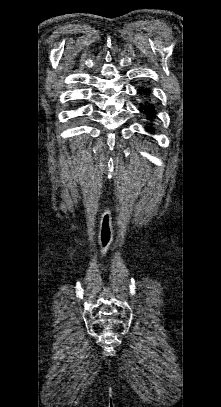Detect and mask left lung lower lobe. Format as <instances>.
I'll list each match as a JSON object with an SVG mask.
<instances>
[{
    "label": "left lung lower lobe",
    "mask_w": 221,
    "mask_h": 407,
    "mask_svg": "<svg viewBox=\"0 0 221 407\" xmlns=\"http://www.w3.org/2000/svg\"><path fill=\"white\" fill-rule=\"evenodd\" d=\"M138 94L140 96V103H139V111L144 115L145 119L147 120L145 129L146 131L153 133L155 132V128L153 127V123L156 120L157 111L155 109V105L153 103V97L151 94V90L148 87H139Z\"/></svg>",
    "instance_id": "left-lung-lower-lobe-1"
}]
</instances>
